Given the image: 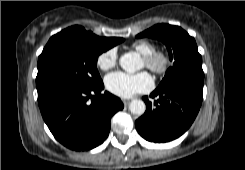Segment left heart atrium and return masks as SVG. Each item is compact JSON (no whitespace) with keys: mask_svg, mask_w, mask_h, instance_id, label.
I'll return each mask as SVG.
<instances>
[{"mask_svg":"<svg viewBox=\"0 0 245 170\" xmlns=\"http://www.w3.org/2000/svg\"><path fill=\"white\" fill-rule=\"evenodd\" d=\"M153 85V80L147 72L130 74L118 71L105 77L106 88L114 95L122 98H129L136 93L150 91Z\"/></svg>","mask_w":245,"mask_h":170,"instance_id":"left-heart-atrium-1","label":"left heart atrium"}]
</instances>
